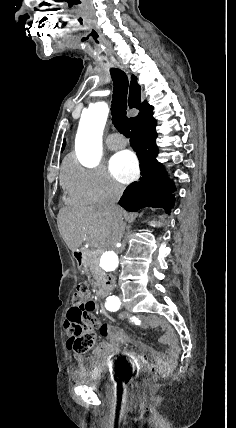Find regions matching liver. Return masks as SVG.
Listing matches in <instances>:
<instances>
[{
	"label": "liver",
	"instance_id": "1",
	"mask_svg": "<svg viewBox=\"0 0 236 428\" xmlns=\"http://www.w3.org/2000/svg\"><path fill=\"white\" fill-rule=\"evenodd\" d=\"M57 224L71 252H76L84 240L91 246L112 250L120 244L125 230L123 220L107 206L65 208L60 210Z\"/></svg>",
	"mask_w": 236,
	"mask_h": 428
}]
</instances>
